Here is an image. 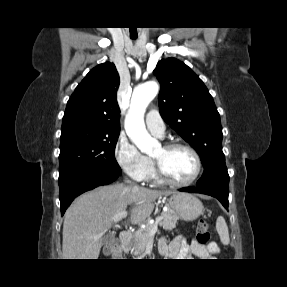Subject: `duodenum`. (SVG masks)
<instances>
[{"label":"duodenum","mask_w":287,"mask_h":287,"mask_svg":"<svg viewBox=\"0 0 287 287\" xmlns=\"http://www.w3.org/2000/svg\"><path fill=\"white\" fill-rule=\"evenodd\" d=\"M131 238H132V233L130 231H123L120 234V242H121L123 250L128 251Z\"/></svg>","instance_id":"410a0bca"}]
</instances>
